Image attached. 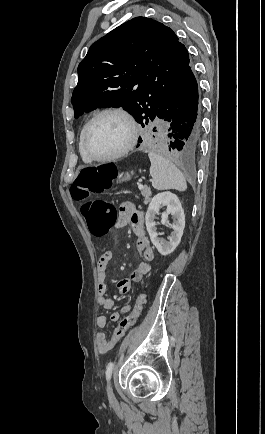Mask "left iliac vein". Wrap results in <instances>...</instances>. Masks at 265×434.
<instances>
[{"mask_svg":"<svg viewBox=\"0 0 265 434\" xmlns=\"http://www.w3.org/2000/svg\"><path fill=\"white\" fill-rule=\"evenodd\" d=\"M107 396H108V400L111 404H114L116 402V398H115V395L113 393V390H112L110 383H108V385H107Z\"/></svg>","mask_w":265,"mask_h":434,"instance_id":"obj_1","label":"left iliac vein"}]
</instances>
